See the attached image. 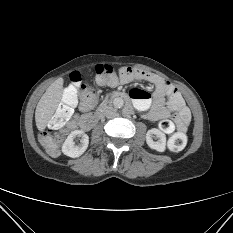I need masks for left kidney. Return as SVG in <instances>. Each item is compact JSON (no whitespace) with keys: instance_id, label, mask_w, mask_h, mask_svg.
<instances>
[{"instance_id":"left-kidney-1","label":"left kidney","mask_w":233,"mask_h":233,"mask_svg":"<svg viewBox=\"0 0 233 233\" xmlns=\"http://www.w3.org/2000/svg\"><path fill=\"white\" fill-rule=\"evenodd\" d=\"M158 140L154 141L153 137ZM146 143L151 148L158 152H164L166 149V136L165 134L157 128H152L146 133Z\"/></svg>"}]
</instances>
